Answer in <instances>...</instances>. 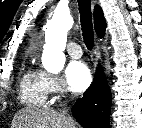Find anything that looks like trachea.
<instances>
[{
	"instance_id": "3493384b",
	"label": "trachea",
	"mask_w": 142,
	"mask_h": 128,
	"mask_svg": "<svg viewBox=\"0 0 142 128\" xmlns=\"http://www.w3.org/2000/svg\"><path fill=\"white\" fill-rule=\"evenodd\" d=\"M78 6L84 43L89 50H92L94 44V32L91 15V1L78 0Z\"/></svg>"
}]
</instances>
